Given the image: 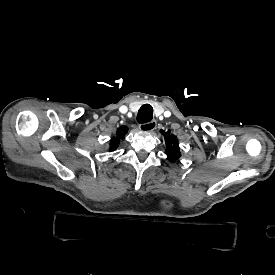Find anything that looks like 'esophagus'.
Segmentation results:
<instances>
[{
  "label": "esophagus",
  "mask_w": 275,
  "mask_h": 275,
  "mask_svg": "<svg viewBox=\"0 0 275 275\" xmlns=\"http://www.w3.org/2000/svg\"><path fill=\"white\" fill-rule=\"evenodd\" d=\"M156 127H157V121L156 120H152L150 122L141 124L140 129L143 130V131L150 132V131L155 130Z\"/></svg>",
  "instance_id": "obj_1"
}]
</instances>
